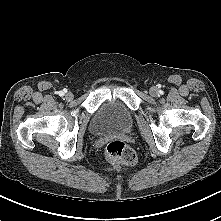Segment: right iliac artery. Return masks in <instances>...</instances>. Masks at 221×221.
<instances>
[{"label":"right iliac artery","mask_w":221,"mask_h":221,"mask_svg":"<svg viewBox=\"0 0 221 221\" xmlns=\"http://www.w3.org/2000/svg\"><path fill=\"white\" fill-rule=\"evenodd\" d=\"M64 94H65V91H60V92H59V95H60V96H63Z\"/></svg>","instance_id":"1"}]
</instances>
